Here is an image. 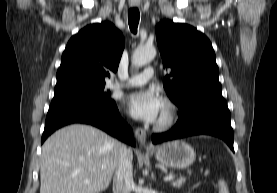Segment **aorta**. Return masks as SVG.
<instances>
[{
	"mask_svg": "<svg viewBox=\"0 0 277 193\" xmlns=\"http://www.w3.org/2000/svg\"><path fill=\"white\" fill-rule=\"evenodd\" d=\"M156 56L154 47H139L132 55V65L136 67L144 66L151 62Z\"/></svg>",
	"mask_w": 277,
	"mask_h": 193,
	"instance_id": "1",
	"label": "aorta"
}]
</instances>
